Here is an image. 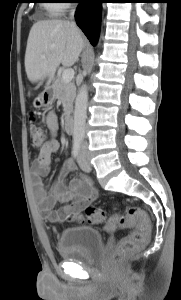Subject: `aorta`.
<instances>
[{
	"instance_id": "aorta-1",
	"label": "aorta",
	"mask_w": 181,
	"mask_h": 300,
	"mask_svg": "<svg viewBox=\"0 0 181 300\" xmlns=\"http://www.w3.org/2000/svg\"><path fill=\"white\" fill-rule=\"evenodd\" d=\"M88 102V87L86 84L82 85L76 97L74 110V128L73 138L83 139L85 136V123L87 115Z\"/></svg>"
}]
</instances>
